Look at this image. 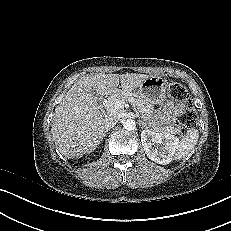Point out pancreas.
Listing matches in <instances>:
<instances>
[{"instance_id":"obj_1","label":"pancreas","mask_w":231,"mask_h":231,"mask_svg":"<svg viewBox=\"0 0 231 231\" xmlns=\"http://www.w3.org/2000/svg\"><path fill=\"white\" fill-rule=\"evenodd\" d=\"M117 101H128L132 105H134L137 110L141 113V115L144 118H147V116H150V113L153 110V106L145 99H142L140 96L133 94V93H121L117 96H113L107 100L105 103L107 110L109 112H121V109L114 108V104ZM162 131L171 133V134H181V127H174L172 125L165 126L161 128Z\"/></svg>"}]
</instances>
